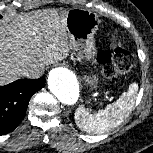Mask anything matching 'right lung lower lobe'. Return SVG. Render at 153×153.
Returning a JSON list of instances; mask_svg holds the SVG:
<instances>
[{
    "label": "right lung lower lobe",
    "mask_w": 153,
    "mask_h": 153,
    "mask_svg": "<svg viewBox=\"0 0 153 153\" xmlns=\"http://www.w3.org/2000/svg\"><path fill=\"white\" fill-rule=\"evenodd\" d=\"M45 78L17 80L0 87V135L13 131L25 116L30 98L43 88Z\"/></svg>",
    "instance_id": "98d812e1"
}]
</instances>
